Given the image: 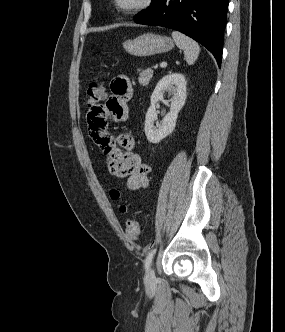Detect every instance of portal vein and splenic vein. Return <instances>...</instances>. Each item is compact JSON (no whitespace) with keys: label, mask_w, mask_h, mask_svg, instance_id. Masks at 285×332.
I'll use <instances>...</instances> for the list:
<instances>
[{"label":"portal vein and splenic vein","mask_w":285,"mask_h":332,"mask_svg":"<svg viewBox=\"0 0 285 332\" xmlns=\"http://www.w3.org/2000/svg\"><path fill=\"white\" fill-rule=\"evenodd\" d=\"M167 66V63L166 62H162L160 63V67H166Z\"/></svg>","instance_id":"1"}]
</instances>
